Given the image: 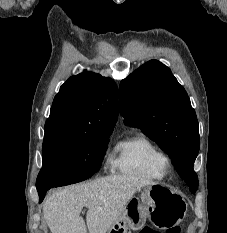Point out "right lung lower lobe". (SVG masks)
Returning <instances> with one entry per match:
<instances>
[{
	"label": "right lung lower lobe",
	"instance_id": "98d812e1",
	"mask_svg": "<svg viewBox=\"0 0 227 233\" xmlns=\"http://www.w3.org/2000/svg\"><path fill=\"white\" fill-rule=\"evenodd\" d=\"M49 189H43V190H39L38 194H39V202L41 203L45 197V193L48 191Z\"/></svg>",
	"mask_w": 227,
	"mask_h": 233
}]
</instances>
